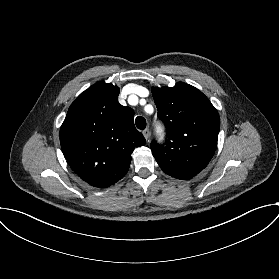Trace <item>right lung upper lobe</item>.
Listing matches in <instances>:
<instances>
[{
    "instance_id": "right-lung-upper-lobe-1",
    "label": "right lung upper lobe",
    "mask_w": 279,
    "mask_h": 279,
    "mask_svg": "<svg viewBox=\"0 0 279 279\" xmlns=\"http://www.w3.org/2000/svg\"><path fill=\"white\" fill-rule=\"evenodd\" d=\"M119 88L98 82L71 104L60 129L71 169L94 187H108L127 173L131 153L145 145L134 126V111L119 104Z\"/></svg>"
}]
</instances>
